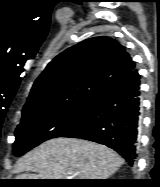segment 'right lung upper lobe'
Masks as SVG:
<instances>
[{
  "mask_svg": "<svg viewBox=\"0 0 160 187\" xmlns=\"http://www.w3.org/2000/svg\"><path fill=\"white\" fill-rule=\"evenodd\" d=\"M135 68L125 48L110 37H94L56 56L37 78L22 112L74 99H99Z\"/></svg>",
  "mask_w": 160,
  "mask_h": 187,
  "instance_id": "right-lung-upper-lobe-1",
  "label": "right lung upper lobe"
}]
</instances>
